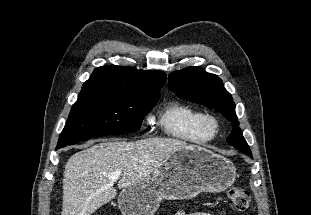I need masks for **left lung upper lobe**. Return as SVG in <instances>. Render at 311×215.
<instances>
[{
	"instance_id": "obj_1",
	"label": "left lung upper lobe",
	"mask_w": 311,
	"mask_h": 215,
	"mask_svg": "<svg viewBox=\"0 0 311 215\" xmlns=\"http://www.w3.org/2000/svg\"><path fill=\"white\" fill-rule=\"evenodd\" d=\"M168 86L182 99L220 111L226 119L234 123L227 142L252 157L239 127L233 98L217 75L207 73L199 67H188L172 72Z\"/></svg>"
}]
</instances>
